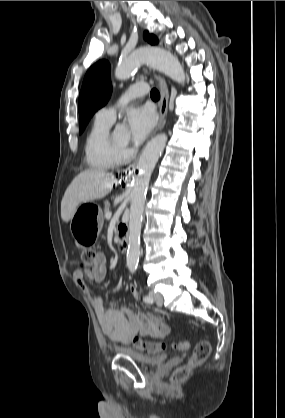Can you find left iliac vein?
I'll return each instance as SVG.
<instances>
[{"label": "left iliac vein", "instance_id": "obj_1", "mask_svg": "<svg viewBox=\"0 0 285 418\" xmlns=\"http://www.w3.org/2000/svg\"><path fill=\"white\" fill-rule=\"evenodd\" d=\"M149 296L154 300V302L158 305V306H162L163 305V298L160 294L154 292V291H150L149 292Z\"/></svg>", "mask_w": 285, "mask_h": 418}]
</instances>
